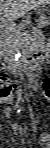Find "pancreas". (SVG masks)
I'll use <instances>...</instances> for the list:
<instances>
[{
    "instance_id": "cf45deb5",
    "label": "pancreas",
    "mask_w": 50,
    "mask_h": 148,
    "mask_svg": "<svg viewBox=\"0 0 50 148\" xmlns=\"http://www.w3.org/2000/svg\"><path fill=\"white\" fill-rule=\"evenodd\" d=\"M5 41L4 45L7 49V54L4 57L6 63L10 67L16 68L17 61L14 59L15 52L27 51L33 46L32 39L38 40V44L42 43V31L36 30L32 35L25 31V25H9L3 31Z\"/></svg>"
}]
</instances>
